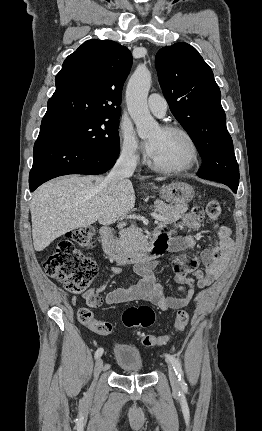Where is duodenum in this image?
I'll return each instance as SVG.
<instances>
[{
	"label": "duodenum",
	"mask_w": 262,
	"mask_h": 431,
	"mask_svg": "<svg viewBox=\"0 0 262 431\" xmlns=\"http://www.w3.org/2000/svg\"><path fill=\"white\" fill-rule=\"evenodd\" d=\"M101 242L103 251L106 255L114 258L119 264H139L154 256L158 251L162 250L164 245L159 238L142 253H130L122 250L117 239L113 235L109 225H103L100 229Z\"/></svg>",
	"instance_id": "1"
}]
</instances>
